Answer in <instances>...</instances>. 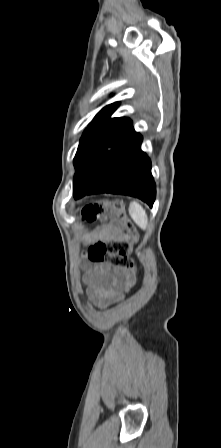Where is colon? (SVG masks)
<instances>
[{"label": "colon", "mask_w": 221, "mask_h": 448, "mask_svg": "<svg viewBox=\"0 0 221 448\" xmlns=\"http://www.w3.org/2000/svg\"><path fill=\"white\" fill-rule=\"evenodd\" d=\"M106 214L116 218L112 223L123 228L128 240L114 241L109 245H92L87 252L88 260L92 264H110L122 267L136 275L137 267L132 258V252L133 243L138 240V232L133 222L124 214L122 202L118 200L96 201L82 210V218L88 223H93Z\"/></svg>", "instance_id": "1"}]
</instances>
